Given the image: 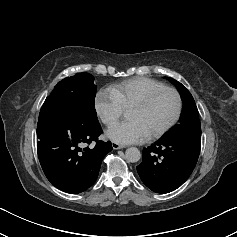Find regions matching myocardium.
Here are the masks:
<instances>
[{
  "label": "myocardium",
  "instance_id": "myocardium-1",
  "mask_svg": "<svg viewBox=\"0 0 237 237\" xmlns=\"http://www.w3.org/2000/svg\"><path fill=\"white\" fill-rule=\"evenodd\" d=\"M165 92H170L175 96L176 102H177L176 111L172 119L167 124H165L162 128H160L158 131H156L155 133L149 136L148 138L149 140H156L160 138L177 123V121L179 120L181 116L182 108H183L181 95L176 89L172 87H163V88L150 92L149 94L144 96L142 99L132 104V107L147 108L159 95Z\"/></svg>",
  "mask_w": 237,
  "mask_h": 237
}]
</instances>
